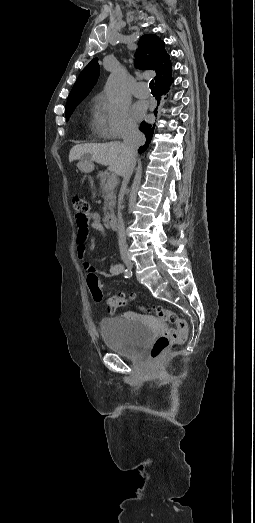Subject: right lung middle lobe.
Masks as SVG:
<instances>
[{
    "label": "right lung middle lobe",
    "mask_w": 255,
    "mask_h": 523,
    "mask_svg": "<svg viewBox=\"0 0 255 523\" xmlns=\"http://www.w3.org/2000/svg\"><path fill=\"white\" fill-rule=\"evenodd\" d=\"M80 102H67L66 104V109H65V116H66V120H68L72 114V112L74 111L75 107L79 104Z\"/></svg>",
    "instance_id": "right-lung-middle-lobe-1"
}]
</instances>
